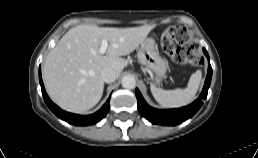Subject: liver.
<instances>
[{"instance_id": "obj_1", "label": "liver", "mask_w": 258, "mask_h": 158, "mask_svg": "<svg viewBox=\"0 0 258 158\" xmlns=\"http://www.w3.org/2000/svg\"><path fill=\"white\" fill-rule=\"evenodd\" d=\"M153 26L110 28L79 25L71 28L48 53L43 80L50 98L62 109L83 113L102 97L101 71L112 68L117 77L127 66L120 56L134 51ZM102 40L108 42L106 55L100 54Z\"/></svg>"}]
</instances>
